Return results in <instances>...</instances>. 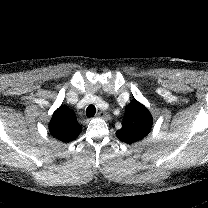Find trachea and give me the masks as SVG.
Listing matches in <instances>:
<instances>
[{
    "mask_svg": "<svg viewBox=\"0 0 208 208\" xmlns=\"http://www.w3.org/2000/svg\"><path fill=\"white\" fill-rule=\"evenodd\" d=\"M96 113V107L94 105H89L86 109L87 117H94Z\"/></svg>",
    "mask_w": 208,
    "mask_h": 208,
    "instance_id": "1",
    "label": "trachea"
}]
</instances>
